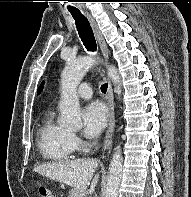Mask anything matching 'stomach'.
I'll list each match as a JSON object with an SVG mask.
<instances>
[{"label":"stomach","mask_w":191,"mask_h":197,"mask_svg":"<svg viewBox=\"0 0 191 197\" xmlns=\"http://www.w3.org/2000/svg\"><path fill=\"white\" fill-rule=\"evenodd\" d=\"M68 197H84V193L73 188L69 191Z\"/></svg>","instance_id":"0dacf381"}]
</instances>
